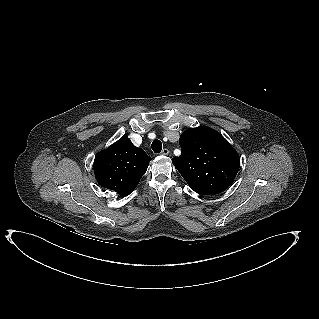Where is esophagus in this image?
I'll return each mask as SVG.
<instances>
[{
  "label": "esophagus",
  "mask_w": 319,
  "mask_h": 319,
  "mask_svg": "<svg viewBox=\"0 0 319 319\" xmlns=\"http://www.w3.org/2000/svg\"><path fill=\"white\" fill-rule=\"evenodd\" d=\"M170 153V151L167 149V148H164L162 151H161V154L162 155H168Z\"/></svg>",
  "instance_id": "1"
}]
</instances>
